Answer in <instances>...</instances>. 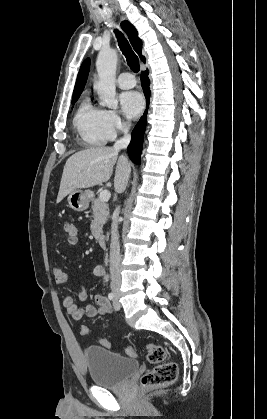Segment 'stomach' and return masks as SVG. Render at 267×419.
Returning <instances> with one entry per match:
<instances>
[{
    "instance_id": "1",
    "label": "stomach",
    "mask_w": 267,
    "mask_h": 419,
    "mask_svg": "<svg viewBox=\"0 0 267 419\" xmlns=\"http://www.w3.org/2000/svg\"><path fill=\"white\" fill-rule=\"evenodd\" d=\"M92 198V192L89 190H74L72 191L67 200L70 208L74 211L81 212L88 208L89 202Z\"/></svg>"
}]
</instances>
